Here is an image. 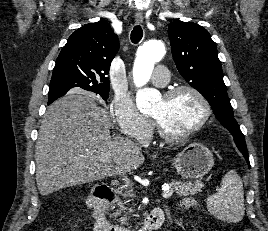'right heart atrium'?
Listing matches in <instances>:
<instances>
[{"instance_id":"1","label":"right heart atrium","mask_w":268,"mask_h":231,"mask_svg":"<svg viewBox=\"0 0 268 231\" xmlns=\"http://www.w3.org/2000/svg\"><path fill=\"white\" fill-rule=\"evenodd\" d=\"M117 130L139 144H145L153 133L150 118L141 113L128 93L116 95L109 106Z\"/></svg>"}]
</instances>
